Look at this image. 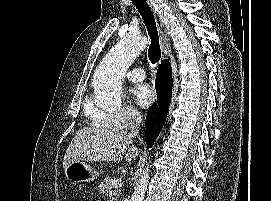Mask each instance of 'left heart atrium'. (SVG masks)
Returning a JSON list of instances; mask_svg holds the SVG:
<instances>
[{"label":"left heart atrium","mask_w":271,"mask_h":201,"mask_svg":"<svg viewBox=\"0 0 271 201\" xmlns=\"http://www.w3.org/2000/svg\"><path fill=\"white\" fill-rule=\"evenodd\" d=\"M134 102L143 108L150 106L155 100L154 91L148 85H137L132 90Z\"/></svg>","instance_id":"1"}]
</instances>
